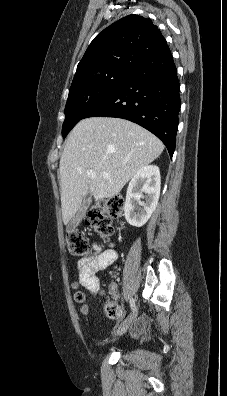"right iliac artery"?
<instances>
[{
    "label": "right iliac artery",
    "mask_w": 227,
    "mask_h": 396,
    "mask_svg": "<svg viewBox=\"0 0 227 396\" xmlns=\"http://www.w3.org/2000/svg\"><path fill=\"white\" fill-rule=\"evenodd\" d=\"M130 306H131V309L134 311L135 310V300L133 298L130 299Z\"/></svg>",
    "instance_id": "right-iliac-artery-1"
}]
</instances>
